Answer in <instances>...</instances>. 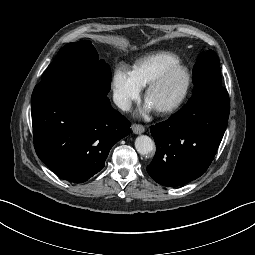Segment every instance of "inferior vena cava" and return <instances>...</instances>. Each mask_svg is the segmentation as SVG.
<instances>
[{
    "label": "inferior vena cava",
    "instance_id": "obj_1",
    "mask_svg": "<svg viewBox=\"0 0 255 255\" xmlns=\"http://www.w3.org/2000/svg\"><path fill=\"white\" fill-rule=\"evenodd\" d=\"M113 101L123 111L129 110L131 107V101L121 93L115 92Z\"/></svg>",
    "mask_w": 255,
    "mask_h": 255
}]
</instances>
